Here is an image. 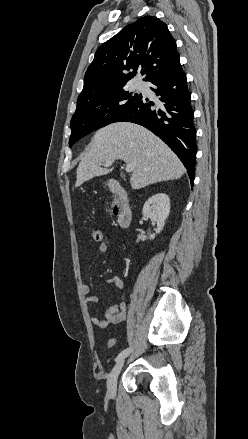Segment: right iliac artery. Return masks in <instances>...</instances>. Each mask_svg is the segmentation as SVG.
Listing matches in <instances>:
<instances>
[{
  "mask_svg": "<svg viewBox=\"0 0 248 439\" xmlns=\"http://www.w3.org/2000/svg\"><path fill=\"white\" fill-rule=\"evenodd\" d=\"M130 352H131V348H126V349H124L123 351H121V352L119 353V355L117 356V358L115 359V361H118V360H120V359H122V358L128 356Z\"/></svg>",
  "mask_w": 248,
  "mask_h": 439,
  "instance_id": "82829eb1",
  "label": "right iliac artery"
}]
</instances>
